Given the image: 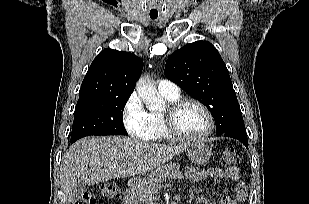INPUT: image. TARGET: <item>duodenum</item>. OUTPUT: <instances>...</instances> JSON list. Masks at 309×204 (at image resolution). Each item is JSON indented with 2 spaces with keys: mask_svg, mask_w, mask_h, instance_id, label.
Instances as JSON below:
<instances>
[{
  "mask_svg": "<svg viewBox=\"0 0 309 204\" xmlns=\"http://www.w3.org/2000/svg\"><path fill=\"white\" fill-rule=\"evenodd\" d=\"M138 185V180L136 178H132L128 181L127 190L125 193V204H132V200L134 197V190Z\"/></svg>",
  "mask_w": 309,
  "mask_h": 204,
  "instance_id": "duodenum-1",
  "label": "duodenum"
}]
</instances>
